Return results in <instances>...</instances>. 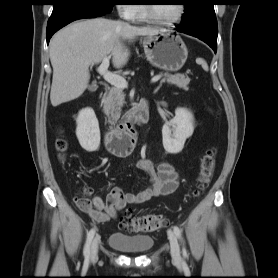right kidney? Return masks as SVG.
Instances as JSON below:
<instances>
[{"instance_id":"1","label":"right kidney","mask_w":278,"mask_h":278,"mask_svg":"<svg viewBox=\"0 0 278 278\" xmlns=\"http://www.w3.org/2000/svg\"><path fill=\"white\" fill-rule=\"evenodd\" d=\"M76 136L87 152L96 151L100 145L99 123L92 108L82 109L76 119Z\"/></svg>"}]
</instances>
